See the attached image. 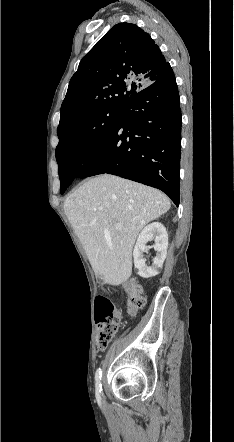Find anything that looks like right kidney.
Instances as JSON below:
<instances>
[{"instance_id":"obj_1","label":"right kidney","mask_w":234,"mask_h":442,"mask_svg":"<svg viewBox=\"0 0 234 442\" xmlns=\"http://www.w3.org/2000/svg\"><path fill=\"white\" fill-rule=\"evenodd\" d=\"M151 240H155L153 248L156 251V256L152 260V265L147 266L143 253L149 251V247L146 244ZM167 248L168 234L163 224L153 222L143 228L137 238L133 251L134 266L142 278H151L159 273V269L162 267L167 255Z\"/></svg>"}]
</instances>
